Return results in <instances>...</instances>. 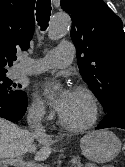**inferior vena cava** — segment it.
<instances>
[{
    "instance_id": "obj_1",
    "label": "inferior vena cava",
    "mask_w": 125,
    "mask_h": 167,
    "mask_svg": "<svg viewBox=\"0 0 125 167\" xmlns=\"http://www.w3.org/2000/svg\"><path fill=\"white\" fill-rule=\"evenodd\" d=\"M42 110L41 109H30L27 116V123L31 130L37 135H44L45 129L41 124Z\"/></svg>"
}]
</instances>
